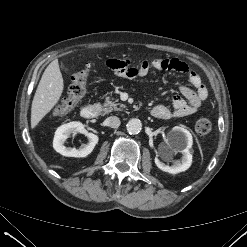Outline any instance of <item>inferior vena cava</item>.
Listing matches in <instances>:
<instances>
[{
  "instance_id": "obj_1",
  "label": "inferior vena cava",
  "mask_w": 247,
  "mask_h": 247,
  "mask_svg": "<svg viewBox=\"0 0 247 247\" xmlns=\"http://www.w3.org/2000/svg\"><path fill=\"white\" fill-rule=\"evenodd\" d=\"M107 125L111 128H118L120 126V119L116 116H110L106 119Z\"/></svg>"
}]
</instances>
